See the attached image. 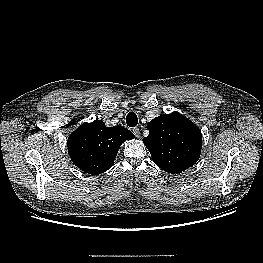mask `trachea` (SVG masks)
<instances>
[{"label":"trachea","instance_id":"3493384b","mask_svg":"<svg viewBox=\"0 0 263 263\" xmlns=\"http://www.w3.org/2000/svg\"><path fill=\"white\" fill-rule=\"evenodd\" d=\"M126 123L129 127H136V125L138 124L137 115L134 112L128 113V115L126 116Z\"/></svg>","mask_w":263,"mask_h":263}]
</instances>
